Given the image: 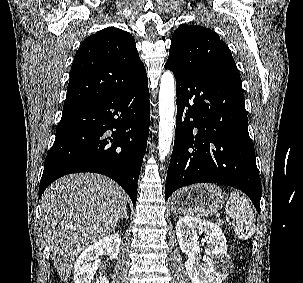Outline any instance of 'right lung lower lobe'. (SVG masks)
Masks as SVG:
<instances>
[{"label": "right lung lower lobe", "instance_id": "98d812e1", "mask_svg": "<svg viewBox=\"0 0 303 283\" xmlns=\"http://www.w3.org/2000/svg\"><path fill=\"white\" fill-rule=\"evenodd\" d=\"M150 124L148 80L124 92L63 111L39 186V198L66 174L95 172L137 200Z\"/></svg>", "mask_w": 303, "mask_h": 283}]
</instances>
